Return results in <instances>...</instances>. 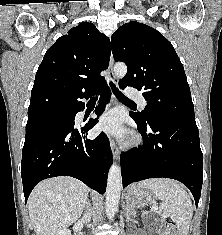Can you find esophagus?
Segmentation results:
<instances>
[{
	"label": "esophagus",
	"mask_w": 222,
	"mask_h": 235,
	"mask_svg": "<svg viewBox=\"0 0 222 235\" xmlns=\"http://www.w3.org/2000/svg\"><path fill=\"white\" fill-rule=\"evenodd\" d=\"M113 64H114V59H113V55L111 54L109 67H108V76H109V79L113 83H117V78H116V76L114 75V72H113ZM110 146H111V150H112V153H113V157H114V159L117 160L118 157H119V148L117 147L114 139H110Z\"/></svg>",
	"instance_id": "1"
}]
</instances>
